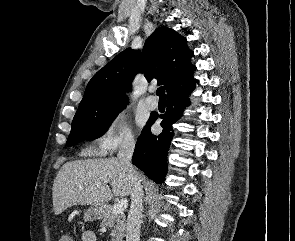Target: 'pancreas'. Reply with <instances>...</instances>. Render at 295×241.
Here are the masks:
<instances>
[{
	"mask_svg": "<svg viewBox=\"0 0 295 241\" xmlns=\"http://www.w3.org/2000/svg\"><path fill=\"white\" fill-rule=\"evenodd\" d=\"M101 225L111 229V241H123L126 229L125 215L123 213L115 214L113 206H108L105 209Z\"/></svg>",
	"mask_w": 295,
	"mask_h": 241,
	"instance_id": "obj_1",
	"label": "pancreas"
}]
</instances>
